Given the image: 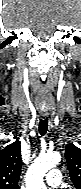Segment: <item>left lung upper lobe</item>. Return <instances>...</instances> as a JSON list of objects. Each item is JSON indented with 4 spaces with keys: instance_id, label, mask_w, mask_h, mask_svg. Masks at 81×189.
Wrapping results in <instances>:
<instances>
[{
    "instance_id": "obj_1",
    "label": "left lung upper lobe",
    "mask_w": 81,
    "mask_h": 189,
    "mask_svg": "<svg viewBox=\"0 0 81 189\" xmlns=\"http://www.w3.org/2000/svg\"><path fill=\"white\" fill-rule=\"evenodd\" d=\"M65 157L71 181L77 189H81V149L69 143L65 147Z\"/></svg>"
}]
</instances>
